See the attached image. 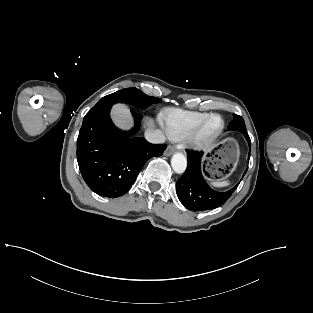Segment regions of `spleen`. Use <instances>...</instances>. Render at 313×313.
I'll return each mask as SVG.
<instances>
[{
	"label": "spleen",
	"instance_id": "spleen-1",
	"mask_svg": "<svg viewBox=\"0 0 313 313\" xmlns=\"http://www.w3.org/2000/svg\"><path fill=\"white\" fill-rule=\"evenodd\" d=\"M230 184L229 181H216V182H211V185L214 186V187H218V188H221V187H226Z\"/></svg>",
	"mask_w": 313,
	"mask_h": 313
}]
</instances>
